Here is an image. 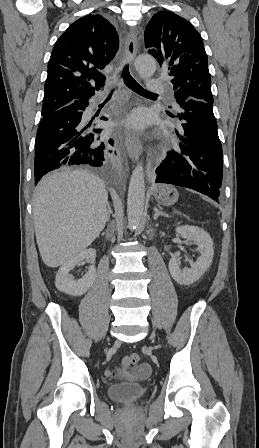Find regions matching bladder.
I'll return each mask as SVG.
<instances>
[{"label": "bladder", "mask_w": 259, "mask_h": 448, "mask_svg": "<svg viewBox=\"0 0 259 448\" xmlns=\"http://www.w3.org/2000/svg\"><path fill=\"white\" fill-rule=\"evenodd\" d=\"M146 386L139 383H116L107 388L108 396L117 402H131L143 397Z\"/></svg>", "instance_id": "bladder-1"}]
</instances>
